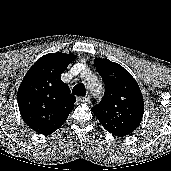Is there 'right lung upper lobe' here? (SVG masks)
<instances>
[{"label":"right lung upper lobe","instance_id":"cb5924a9","mask_svg":"<svg viewBox=\"0 0 171 171\" xmlns=\"http://www.w3.org/2000/svg\"><path fill=\"white\" fill-rule=\"evenodd\" d=\"M72 54L51 53L41 57L21 82L17 100L22 119L35 132L50 135L67 120L75 97L60 79Z\"/></svg>","mask_w":171,"mask_h":171}]
</instances>
